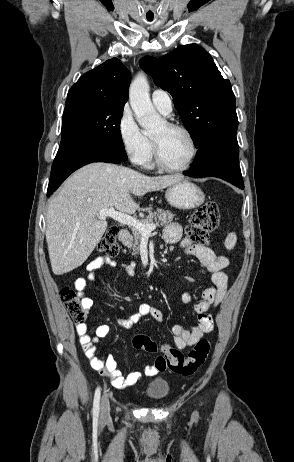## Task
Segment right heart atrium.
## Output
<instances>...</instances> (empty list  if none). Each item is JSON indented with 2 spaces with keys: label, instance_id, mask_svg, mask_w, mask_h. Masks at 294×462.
<instances>
[{
  "label": "right heart atrium",
  "instance_id": "1",
  "mask_svg": "<svg viewBox=\"0 0 294 462\" xmlns=\"http://www.w3.org/2000/svg\"><path fill=\"white\" fill-rule=\"evenodd\" d=\"M117 131L123 151L132 163L145 164L151 149L150 141L138 126L129 106H125L121 111Z\"/></svg>",
  "mask_w": 294,
  "mask_h": 462
}]
</instances>
